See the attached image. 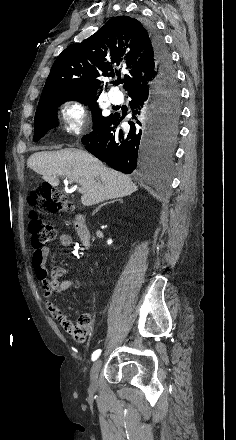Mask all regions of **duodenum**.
<instances>
[{
	"instance_id": "obj_1",
	"label": "duodenum",
	"mask_w": 236,
	"mask_h": 440,
	"mask_svg": "<svg viewBox=\"0 0 236 440\" xmlns=\"http://www.w3.org/2000/svg\"><path fill=\"white\" fill-rule=\"evenodd\" d=\"M74 227L78 238L85 248L91 247V233L88 228L85 217L82 214H77L74 218Z\"/></svg>"
}]
</instances>
